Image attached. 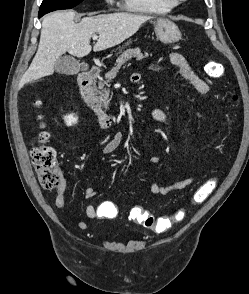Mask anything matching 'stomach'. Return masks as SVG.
I'll return each mask as SVG.
<instances>
[{"mask_svg":"<svg viewBox=\"0 0 249 294\" xmlns=\"http://www.w3.org/2000/svg\"><path fill=\"white\" fill-rule=\"evenodd\" d=\"M154 30L157 38L164 44H172L181 39L179 28L169 19H157L154 22Z\"/></svg>","mask_w":249,"mask_h":294,"instance_id":"0dacf381","label":"stomach"}]
</instances>
